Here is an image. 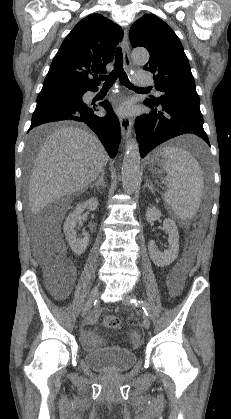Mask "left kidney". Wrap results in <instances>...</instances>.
Instances as JSON below:
<instances>
[{
  "label": "left kidney",
  "mask_w": 231,
  "mask_h": 419,
  "mask_svg": "<svg viewBox=\"0 0 231 419\" xmlns=\"http://www.w3.org/2000/svg\"><path fill=\"white\" fill-rule=\"evenodd\" d=\"M162 216L160 210L152 206L146 210V220L148 223H151ZM163 228L168 232L169 238V248L163 253L160 252L156 246L154 240H150L148 243V251L150 258L155 265L159 267H164L171 264L175 259H177L179 252V232L176 226V223L172 219H165L163 221Z\"/></svg>",
  "instance_id": "left-kidney-1"
}]
</instances>
